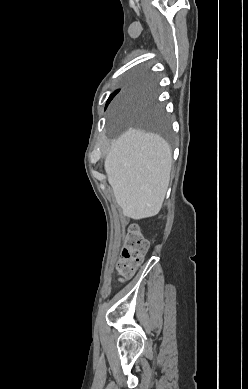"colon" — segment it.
<instances>
[{
	"label": "colon",
	"instance_id": "obj_1",
	"mask_svg": "<svg viewBox=\"0 0 248 389\" xmlns=\"http://www.w3.org/2000/svg\"><path fill=\"white\" fill-rule=\"evenodd\" d=\"M148 242L136 225H132L127 233L126 241L117 264V273L121 279L134 274L140 266L147 251Z\"/></svg>",
	"mask_w": 248,
	"mask_h": 389
}]
</instances>
